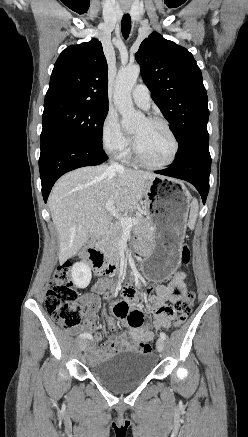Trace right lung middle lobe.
<instances>
[{
    "mask_svg": "<svg viewBox=\"0 0 248 437\" xmlns=\"http://www.w3.org/2000/svg\"><path fill=\"white\" fill-rule=\"evenodd\" d=\"M108 107L69 100H45L41 140L51 135H67L102 147L103 123Z\"/></svg>",
    "mask_w": 248,
    "mask_h": 437,
    "instance_id": "1",
    "label": "right lung middle lobe"
}]
</instances>
